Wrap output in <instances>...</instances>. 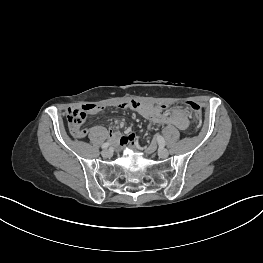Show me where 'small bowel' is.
Returning <instances> with one entry per match:
<instances>
[{
	"instance_id": "1",
	"label": "small bowel",
	"mask_w": 263,
	"mask_h": 263,
	"mask_svg": "<svg viewBox=\"0 0 263 263\" xmlns=\"http://www.w3.org/2000/svg\"><path fill=\"white\" fill-rule=\"evenodd\" d=\"M120 108H129L137 112L142 117L150 120L152 123H164L172 124L177 128L184 130L188 127V118L185 120H178L177 118H169L165 114V110L161 107L153 106L148 103H143L137 100H130L126 103L119 105ZM79 109L85 110L87 113L99 112L102 108L97 104H85L79 107ZM112 139L116 140L121 146L126 144H135L136 136L134 134L121 135L118 132H110Z\"/></svg>"
}]
</instances>
